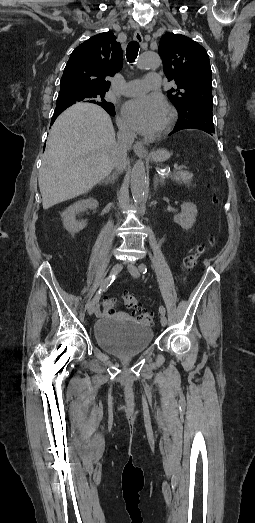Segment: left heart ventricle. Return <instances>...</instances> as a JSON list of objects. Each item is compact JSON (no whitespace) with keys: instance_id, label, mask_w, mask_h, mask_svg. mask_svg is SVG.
<instances>
[{"instance_id":"left-heart-ventricle-1","label":"left heart ventricle","mask_w":255,"mask_h":523,"mask_svg":"<svg viewBox=\"0 0 255 523\" xmlns=\"http://www.w3.org/2000/svg\"><path fill=\"white\" fill-rule=\"evenodd\" d=\"M169 120H170V112L167 109V107L165 106L162 113L160 114L158 124H157V129H156L155 133H153V135L157 136V135H160L161 133H163L168 126Z\"/></svg>"}]
</instances>
